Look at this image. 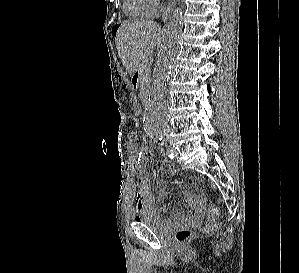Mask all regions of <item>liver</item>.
<instances>
[{
	"label": "liver",
	"mask_w": 299,
	"mask_h": 273,
	"mask_svg": "<svg viewBox=\"0 0 299 273\" xmlns=\"http://www.w3.org/2000/svg\"><path fill=\"white\" fill-rule=\"evenodd\" d=\"M158 42L159 29L154 21H126L120 25L115 44L129 75L138 71L139 63L153 53Z\"/></svg>",
	"instance_id": "6515ba94"
}]
</instances>
